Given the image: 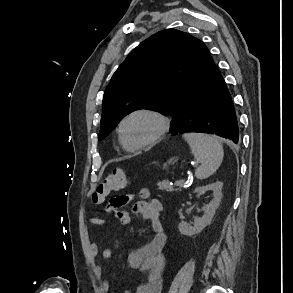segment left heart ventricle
<instances>
[{"mask_svg": "<svg viewBox=\"0 0 293 293\" xmlns=\"http://www.w3.org/2000/svg\"><path fill=\"white\" fill-rule=\"evenodd\" d=\"M157 130V122L149 116L137 115L124 125V137L128 144L136 145L151 138Z\"/></svg>", "mask_w": 293, "mask_h": 293, "instance_id": "b2bd125f", "label": "left heart ventricle"}]
</instances>
